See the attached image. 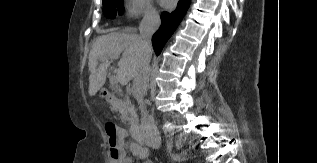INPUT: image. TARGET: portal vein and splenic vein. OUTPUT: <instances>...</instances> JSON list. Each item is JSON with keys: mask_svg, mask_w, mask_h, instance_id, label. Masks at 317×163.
Here are the masks:
<instances>
[{"mask_svg": "<svg viewBox=\"0 0 317 163\" xmlns=\"http://www.w3.org/2000/svg\"><path fill=\"white\" fill-rule=\"evenodd\" d=\"M110 59H113V57H111ZM120 81V77L118 74L114 75V76H111L110 77V83L111 84H116Z\"/></svg>", "mask_w": 317, "mask_h": 163, "instance_id": "18ae733b", "label": "portal vein and splenic vein"}]
</instances>
